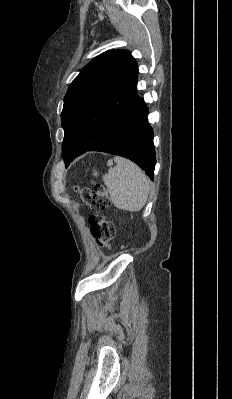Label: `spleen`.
<instances>
[{"instance_id": "3e777b00", "label": "spleen", "mask_w": 232, "mask_h": 399, "mask_svg": "<svg viewBox=\"0 0 232 399\" xmlns=\"http://www.w3.org/2000/svg\"><path fill=\"white\" fill-rule=\"evenodd\" d=\"M115 168H110L103 180L110 200L119 209L139 211L149 196V180L143 170L125 158H114ZM98 176V174H95Z\"/></svg>"}]
</instances>
